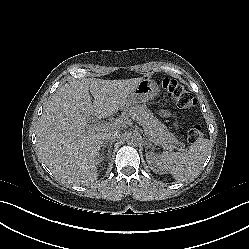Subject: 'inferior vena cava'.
<instances>
[{
  "instance_id": "inferior-vena-cava-1",
  "label": "inferior vena cava",
  "mask_w": 249,
  "mask_h": 249,
  "mask_svg": "<svg viewBox=\"0 0 249 249\" xmlns=\"http://www.w3.org/2000/svg\"><path fill=\"white\" fill-rule=\"evenodd\" d=\"M119 136V130H113L106 132L102 135L103 142L104 140H116Z\"/></svg>"
}]
</instances>
